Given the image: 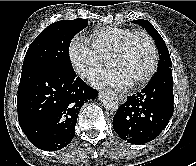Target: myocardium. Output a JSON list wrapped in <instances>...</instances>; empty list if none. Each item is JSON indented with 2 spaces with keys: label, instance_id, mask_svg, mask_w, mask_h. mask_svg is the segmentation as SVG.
Listing matches in <instances>:
<instances>
[{
  "label": "myocardium",
  "instance_id": "myocardium-1",
  "mask_svg": "<svg viewBox=\"0 0 196 166\" xmlns=\"http://www.w3.org/2000/svg\"><path fill=\"white\" fill-rule=\"evenodd\" d=\"M139 35L144 36L148 40V42L151 46L152 62H151V65H150L148 71L141 78H139L137 81L131 83V85L134 87H138V86H141V85H144L145 83H147L152 78V76L154 75V73L157 69L159 54H158V49H157V46H156V43H155L153 37L149 33H147L146 31H143V30L133 31L132 33H130L128 36H126L124 38V40L122 41L120 46L117 48V50L113 53V55L110 58V64L113 65V63L118 58L122 57L126 53L130 41L134 37L139 36Z\"/></svg>",
  "mask_w": 196,
  "mask_h": 166
}]
</instances>
